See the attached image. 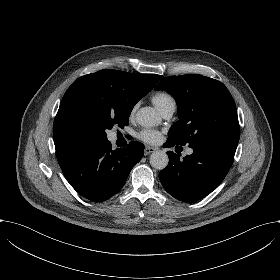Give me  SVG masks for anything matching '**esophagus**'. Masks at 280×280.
Here are the masks:
<instances>
[{
  "mask_svg": "<svg viewBox=\"0 0 280 280\" xmlns=\"http://www.w3.org/2000/svg\"><path fill=\"white\" fill-rule=\"evenodd\" d=\"M156 149L153 147H145L144 149V155L147 156L148 154L154 152Z\"/></svg>",
  "mask_w": 280,
  "mask_h": 280,
  "instance_id": "34e87169",
  "label": "esophagus"
}]
</instances>
